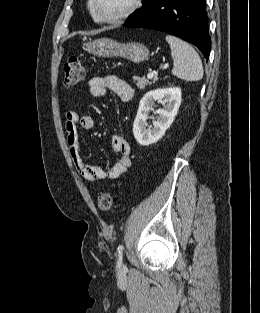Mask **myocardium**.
<instances>
[{
  "mask_svg": "<svg viewBox=\"0 0 260 313\" xmlns=\"http://www.w3.org/2000/svg\"><path fill=\"white\" fill-rule=\"evenodd\" d=\"M140 5L141 0H132L130 6L119 15L114 17H105L102 16L97 9V0H91L92 11L96 19L101 23L107 24H116L124 21L125 19L133 15L139 9Z\"/></svg>",
  "mask_w": 260,
  "mask_h": 313,
  "instance_id": "myocardium-1",
  "label": "myocardium"
}]
</instances>
